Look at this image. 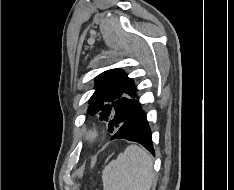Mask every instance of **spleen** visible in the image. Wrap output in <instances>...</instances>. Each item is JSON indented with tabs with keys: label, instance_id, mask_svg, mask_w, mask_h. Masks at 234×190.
<instances>
[{
	"label": "spleen",
	"instance_id": "1",
	"mask_svg": "<svg viewBox=\"0 0 234 190\" xmlns=\"http://www.w3.org/2000/svg\"><path fill=\"white\" fill-rule=\"evenodd\" d=\"M153 180L151 156L137 145L127 147L102 172L104 190H150Z\"/></svg>",
	"mask_w": 234,
	"mask_h": 190
}]
</instances>
